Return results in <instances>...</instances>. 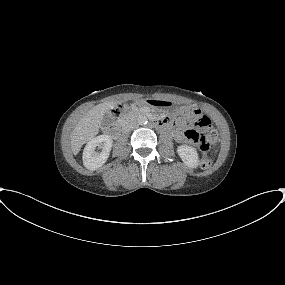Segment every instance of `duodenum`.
<instances>
[{
    "label": "duodenum",
    "instance_id": "obj_1",
    "mask_svg": "<svg viewBox=\"0 0 285 285\" xmlns=\"http://www.w3.org/2000/svg\"><path fill=\"white\" fill-rule=\"evenodd\" d=\"M156 123L159 127L166 130H169L171 128L169 121L165 118L156 119ZM109 131L114 135H119L122 132V126L118 123H112L109 127Z\"/></svg>",
    "mask_w": 285,
    "mask_h": 285
}]
</instances>
